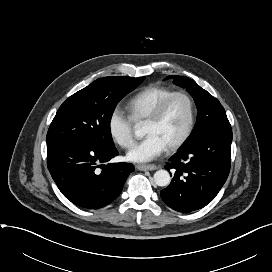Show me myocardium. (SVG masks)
I'll use <instances>...</instances> for the list:
<instances>
[{
	"label": "myocardium",
	"instance_id": "f54148a6",
	"mask_svg": "<svg viewBox=\"0 0 272 272\" xmlns=\"http://www.w3.org/2000/svg\"><path fill=\"white\" fill-rule=\"evenodd\" d=\"M176 97H182L187 101L188 104V122L186 129L182 136L172 145L167 147L169 152H174L181 148L190 138L194 127H195V120H196V108L195 103L192 97L185 91H173L169 95H167L163 100L159 102V104L155 107L153 112L147 118L146 123H155L158 122L164 115L167 107L171 103V101Z\"/></svg>",
	"mask_w": 272,
	"mask_h": 272
}]
</instances>
